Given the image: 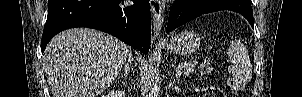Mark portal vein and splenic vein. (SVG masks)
<instances>
[{
  "mask_svg": "<svg viewBox=\"0 0 302 97\" xmlns=\"http://www.w3.org/2000/svg\"><path fill=\"white\" fill-rule=\"evenodd\" d=\"M176 74H177V75H181V70H177V71H176Z\"/></svg>",
  "mask_w": 302,
  "mask_h": 97,
  "instance_id": "1",
  "label": "portal vein and splenic vein"
}]
</instances>
